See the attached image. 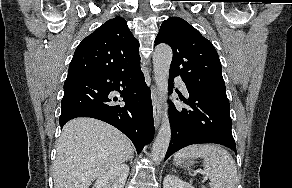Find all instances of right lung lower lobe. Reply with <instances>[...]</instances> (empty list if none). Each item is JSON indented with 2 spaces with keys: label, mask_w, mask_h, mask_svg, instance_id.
Returning <instances> with one entry per match:
<instances>
[{
  "label": "right lung lower lobe",
  "mask_w": 292,
  "mask_h": 188,
  "mask_svg": "<svg viewBox=\"0 0 292 188\" xmlns=\"http://www.w3.org/2000/svg\"><path fill=\"white\" fill-rule=\"evenodd\" d=\"M118 91L125 105H119ZM59 124L77 117L107 122L123 132L140 153L154 135L150 91L140 67L126 72L73 73L64 83Z\"/></svg>",
  "instance_id": "right-lung-lower-lobe-1"
}]
</instances>
